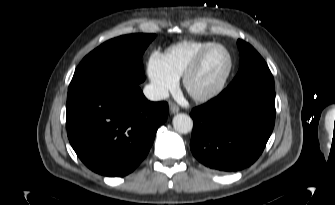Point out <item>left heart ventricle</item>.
Segmentation results:
<instances>
[{"label":"left heart ventricle","instance_id":"1","mask_svg":"<svg viewBox=\"0 0 335 205\" xmlns=\"http://www.w3.org/2000/svg\"><path fill=\"white\" fill-rule=\"evenodd\" d=\"M228 56L223 49H215L205 59L199 72L190 81L193 93H204L212 89L224 76L228 68Z\"/></svg>","mask_w":335,"mask_h":205}]
</instances>
